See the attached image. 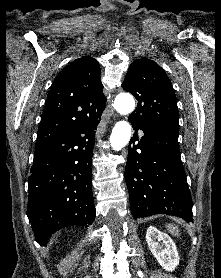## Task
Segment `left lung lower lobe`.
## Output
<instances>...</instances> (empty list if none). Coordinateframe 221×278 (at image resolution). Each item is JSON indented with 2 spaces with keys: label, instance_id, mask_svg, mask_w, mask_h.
<instances>
[{
  "label": "left lung lower lobe",
  "instance_id": "obj_1",
  "mask_svg": "<svg viewBox=\"0 0 221 278\" xmlns=\"http://www.w3.org/2000/svg\"><path fill=\"white\" fill-rule=\"evenodd\" d=\"M129 122L144 132L140 140L137 131L131 138L125 168L133 217L162 213L193 222V203L181 161L178 132L149 130L130 117Z\"/></svg>",
  "mask_w": 221,
  "mask_h": 278
}]
</instances>
